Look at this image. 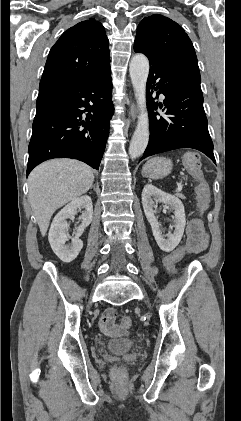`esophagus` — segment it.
Returning <instances> with one entry per match:
<instances>
[{
    "mask_svg": "<svg viewBox=\"0 0 241 421\" xmlns=\"http://www.w3.org/2000/svg\"><path fill=\"white\" fill-rule=\"evenodd\" d=\"M129 117L131 118V121L134 123L137 117V108L134 102H132L130 105Z\"/></svg>",
    "mask_w": 241,
    "mask_h": 421,
    "instance_id": "esophagus-1",
    "label": "esophagus"
}]
</instances>
